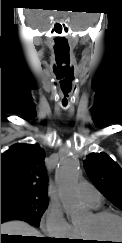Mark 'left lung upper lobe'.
Segmentation results:
<instances>
[{
  "mask_svg": "<svg viewBox=\"0 0 122 243\" xmlns=\"http://www.w3.org/2000/svg\"><path fill=\"white\" fill-rule=\"evenodd\" d=\"M94 186L122 210V169L106 153H91L83 161Z\"/></svg>",
  "mask_w": 122,
  "mask_h": 243,
  "instance_id": "5c2ea615",
  "label": "left lung upper lobe"
}]
</instances>
